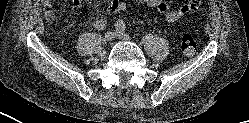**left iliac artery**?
<instances>
[{"mask_svg": "<svg viewBox=\"0 0 249 123\" xmlns=\"http://www.w3.org/2000/svg\"><path fill=\"white\" fill-rule=\"evenodd\" d=\"M115 26H116L117 30H120L122 32H124L126 30V24H125V22L123 20L117 21Z\"/></svg>", "mask_w": 249, "mask_h": 123, "instance_id": "1", "label": "left iliac artery"}]
</instances>
